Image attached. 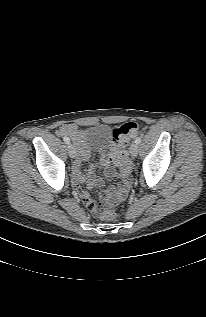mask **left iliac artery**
I'll return each mask as SVG.
<instances>
[{
	"label": "left iliac artery",
	"mask_w": 206,
	"mask_h": 317,
	"mask_svg": "<svg viewBox=\"0 0 206 317\" xmlns=\"http://www.w3.org/2000/svg\"><path fill=\"white\" fill-rule=\"evenodd\" d=\"M135 143H136V144H140V143H141V138H140V137H137L136 140H135Z\"/></svg>",
	"instance_id": "44dca946"
}]
</instances>
